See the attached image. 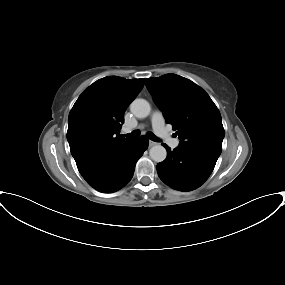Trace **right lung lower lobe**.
Instances as JSON below:
<instances>
[{"label":"right lung lower lobe","instance_id":"right-lung-lower-lobe-1","mask_svg":"<svg viewBox=\"0 0 285 285\" xmlns=\"http://www.w3.org/2000/svg\"><path fill=\"white\" fill-rule=\"evenodd\" d=\"M148 143L145 136L119 143L78 165V170L94 189L105 193L118 191L131 180Z\"/></svg>","mask_w":285,"mask_h":285}]
</instances>
